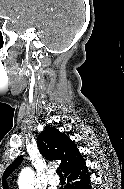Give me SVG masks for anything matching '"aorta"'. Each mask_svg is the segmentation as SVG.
<instances>
[{"label": "aorta", "instance_id": "762f6f07", "mask_svg": "<svg viewBox=\"0 0 124 189\" xmlns=\"http://www.w3.org/2000/svg\"><path fill=\"white\" fill-rule=\"evenodd\" d=\"M34 176V171L31 168L26 167L22 169L18 178L19 189H34Z\"/></svg>", "mask_w": 124, "mask_h": 189}]
</instances>
